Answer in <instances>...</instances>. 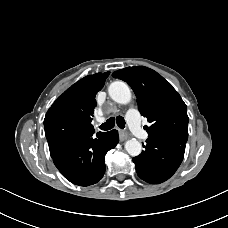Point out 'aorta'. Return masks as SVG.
I'll return each instance as SVG.
<instances>
[{"label":"aorta","instance_id":"obj_1","mask_svg":"<svg viewBox=\"0 0 228 228\" xmlns=\"http://www.w3.org/2000/svg\"><path fill=\"white\" fill-rule=\"evenodd\" d=\"M109 96L119 104H128L131 100V92L128 85L123 81H115L108 88ZM127 153L133 157L140 155L142 145L136 139L128 140L125 143Z\"/></svg>","mask_w":228,"mask_h":228}]
</instances>
